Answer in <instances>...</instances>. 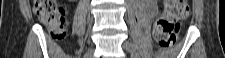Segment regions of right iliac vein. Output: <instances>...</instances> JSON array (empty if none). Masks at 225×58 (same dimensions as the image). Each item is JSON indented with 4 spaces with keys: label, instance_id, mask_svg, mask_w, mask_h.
Returning <instances> with one entry per match:
<instances>
[{
    "label": "right iliac vein",
    "instance_id": "63e3f726",
    "mask_svg": "<svg viewBox=\"0 0 225 58\" xmlns=\"http://www.w3.org/2000/svg\"><path fill=\"white\" fill-rule=\"evenodd\" d=\"M92 54H93V51L92 50H89L87 52V58H91L92 57Z\"/></svg>",
    "mask_w": 225,
    "mask_h": 58
}]
</instances>
